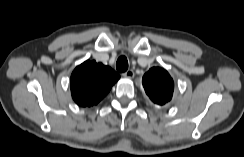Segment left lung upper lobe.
<instances>
[{"label":"left lung upper lobe","instance_id":"5c2ea615","mask_svg":"<svg viewBox=\"0 0 244 157\" xmlns=\"http://www.w3.org/2000/svg\"><path fill=\"white\" fill-rule=\"evenodd\" d=\"M146 94L159 105L169 102L173 95L174 82L163 68L153 67L142 78Z\"/></svg>","mask_w":244,"mask_h":157}]
</instances>
